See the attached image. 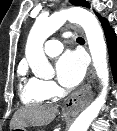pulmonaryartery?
I'll list each match as a JSON object with an SVG mask.
<instances>
[{"label": "pulmonary artery", "instance_id": "e3ab8cb5", "mask_svg": "<svg viewBox=\"0 0 117 131\" xmlns=\"http://www.w3.org/2000/svg\"><path fill=\"white\" fill-rule=\"evenodd\" d=\"M62 50L63 44L61 43V41L56 39L48 40L44 45V51L50 57L57 56L59 53L62 52Z\"/></svg>", "mask_w": 117, "mask_h": 131}]
</instances>
